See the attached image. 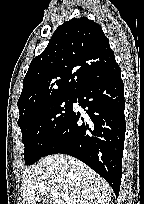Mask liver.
I'll return each mask as SVG.
<instances>
[{
	"label": "liver",
	"instance_id": "liver-1",
	"mask_svg": "<svg viewBox=\"0 0 144 204\" xmlns=\"http://www.w3.org/2000/svg\"><path fill=\"white\" fill-rule=\"evenodd\" d=\"M23 204L47 198V204H109L111 187L83 162L68 155H51L26 168L22 175ZM58 195L51 196V191Z\"/></svg>",
	"mask_w": 144,
	"mask_h": 204
}]
</instances>
